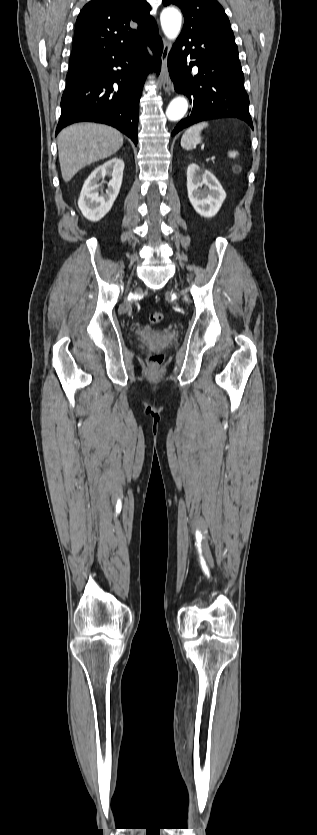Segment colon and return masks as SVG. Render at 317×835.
Segmentation results:
<instances>
[{
    "instance_id": "5ec220e1",
    "label": "colon",
    "mask_w": 317,
    "mask_h": 835,
    "mask_svg": "<svg viewBox=\"0 0 317 835\" xmlns=\"http://www.w3.org/2000/svg\"><path fill=\"white\" fill-rule=\"evenodd\" d=\"M240 171V167L235 168V172L238 173ZM163 314L161 312H152L149 315V321L152 324H158L162 321ZM164 359V352L162 350L153 351L148 354V361L151 365L157 366L163 362Z\"/></svg>"
}]
</instances>
